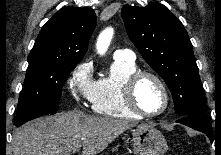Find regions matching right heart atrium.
Here are the masks:
<instances>
[{"label":"right heart atrium","instance_id":"d8ad5b80","mask_svg":"<svg viewBox=\"0 0 221 155\" xmlns=\"http://www.w3.org/2000/svg\"><path fill=\"white\" fill-rule=\"evenodd\" d=\"M93 64L86 60L78 64L67 78V88L78 103L91 102L94 89Z\"/></svg>","mask_w":221,"mask_h":155}]
</instances>
